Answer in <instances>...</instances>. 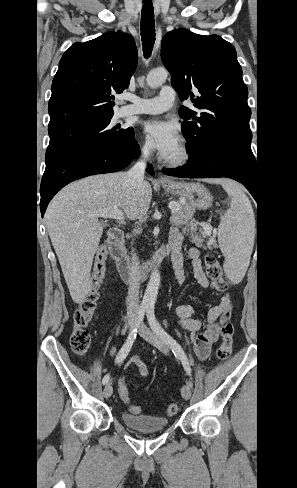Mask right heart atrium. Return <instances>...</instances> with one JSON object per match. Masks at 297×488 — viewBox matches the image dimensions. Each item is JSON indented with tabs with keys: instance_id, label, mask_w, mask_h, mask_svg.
Returning <instances> with one entry per match:
<instances>
[{
	"instance_id": "d8ad5b80",
	"label": "right heart atrium",
	"mask_w": 297,
	"mask_h": 488,
	"mask_svg": "<svg viewBox=\"0 0 297 488\" xmlns=\"http://www.w3.org/2000/svg\"><path fill=\"white\" fill-rule=\"evenodd\" d=\"M138 150L141 155L148 156L151 152V145L146 141H142L138 144Z\"/></svg>"
}]
</instances>
